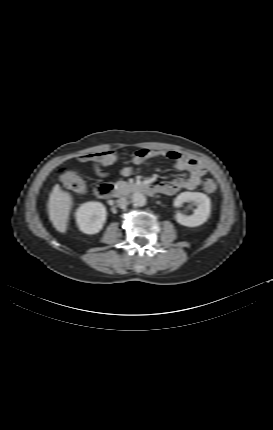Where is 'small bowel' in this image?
Returning a JSON list of instances; mask_svg holds the SVG:
<instances>
[{"label": "small bowel", "mask_w": 273, "mask_h": 430, "mask_svg": "<svg viewBox=\"0 0 273 430\" xmlns=\"http://www.w3.org/2000/svg\"><path fill=\"white\" fill-rule=\"evenodd\" d=\"M168 157L175 161V168L189 173L187 178H177L173 181H156L154 183L157 192L174 195L180 190H194L201 183V178L207 173L206 166L199 160L186 156L174 150L162 149H140L132 156L134 165L148 163L152 159ZM81 162H91L95 166L98 175L105 176V168L115 164L119 160V155L114 151H104L95 154L83 155L79 158ZM133 168L126 166L121 170V174L128 177L132 174Z\"/></svg>", "instance_id": "small-bowel-1"}]
</instances>
